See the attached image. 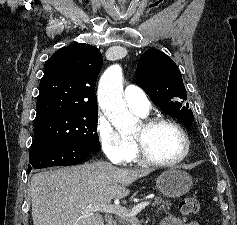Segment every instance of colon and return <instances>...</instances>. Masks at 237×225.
I'll return each mask as SVG.
<instances>
[{
  "instance_id": "5ec220e1",
  "label": "colon",
  "mask_w": 237,
  "mask_h": 225,
  "mask_svg": "<svg viewBox=\"0 0 237 225\" xmlns=\"http://www.w3.org/2000/svg\"><path fill=\"white\" fill-rule=\"evenodd\" d=\"M179 210L184 216H191L199 211V203L193 197H185L179 204Z\"/></svg>"
}]
</instances>
